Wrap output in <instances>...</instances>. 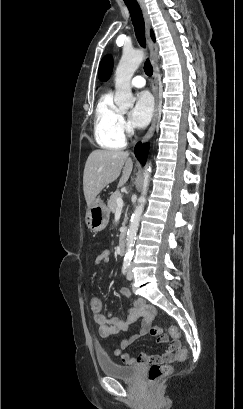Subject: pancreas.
<instances>
[{
  "label": "pancreas",
  "instance_id": "pancreas-1",
  "mask_svg": "<svg viewBox=\"0 0 243 409\" xmlns=\"http://www.w3.org/2000/svg\"><path fill=\"white\" fill-rule=\"evenodd\" d=\"M121 197V194L119 191L114 192L109 200H108V209L110 212L114 213L116 211L117 207V199ZM126 218L124 219L123 225H125Z\"/></svg>",
  "mask_w": 243,
  "mask_h": 409
}]
</instances>
